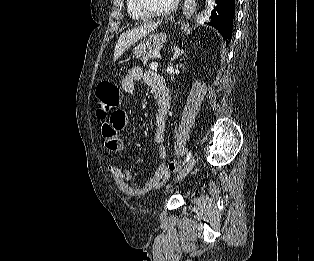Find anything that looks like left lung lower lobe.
I'll return each mask as SVG.
<instances>
[{
    "mask_svg": "<svg viewBox=\"0 0 314 261\" xmlns=\"http://www.w3.org/2000/svg\"><path fill=\"white\" fill-rule=\"evenodd\" d=\"M216 3L209 25L216 28L226 43H229L235 16V0H217Z\"/></svg>",
    "mask_w": 314,
    "mask_h": 261,
    "instance_id": "1",
    "label": "left lung lower lobe"
}]
</instances>
